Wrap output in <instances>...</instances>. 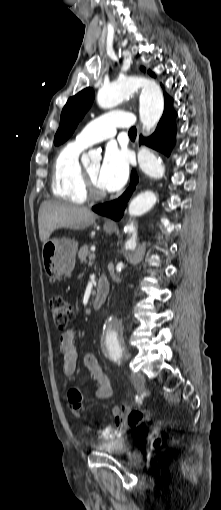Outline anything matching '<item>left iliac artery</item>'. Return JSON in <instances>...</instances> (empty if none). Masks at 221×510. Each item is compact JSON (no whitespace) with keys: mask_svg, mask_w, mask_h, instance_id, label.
Instances as JSON below:
<instances>
[{"mask_svg":"<svg viewBox=\"0 0 221 510\" xmlns=\"http://www.w3.org/2000/svg\"><path fill=\"white\" fill-rule=\"evenodd\" d=\"M109 355H110L112 360H114L115 362L120 363V358L122 356V348H121V346H119L118 344L113 345L110 348Z\"/></svg>","mask_w":221,"mask_h":510,"instance_id":"obj_1","label":"left iliac artery"}]
</instances>
